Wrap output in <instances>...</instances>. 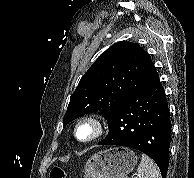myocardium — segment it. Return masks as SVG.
Wrapping results in <instances>:
<instances>
[{
    "mask_svg": "<svg viewBox=\"0 0 194 178\" xmlns=\"http://www.w3.org/2000/svg\"><path fill=\"white\" fill-rule=\"evenodd\" d=\"M90 125L92 127V134L87 139H80L78 131L82 126ZM107 130L105 121L97 115H86L80 118L73 129V136L76 141L82 144H90L101 139Z\"/></svg>",
    "mask_w": 194,
    "mask_h": 178,
    "instance_id": "myocardium-1",
    "label": "myocardium"
}]
</instances>
